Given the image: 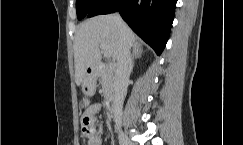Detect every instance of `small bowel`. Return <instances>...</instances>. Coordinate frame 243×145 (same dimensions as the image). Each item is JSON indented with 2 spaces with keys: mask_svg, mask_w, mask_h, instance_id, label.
Here are the masks:
<instances>
[{
  "mask_svg": "<svg viewBox=\"0 0 243 145\" xmlns=\"http://www.w3.org/2000/svg\"><path fill=\"white\" fill-rule=\"evenodd\" d=\"M98 105H94L91 108H89L85 115L89 116L92 120V123L94 125V114L99 110ZM84 115V116H85ZM102 139H101V130H98L94 127V132L91 136L84 139L82 145H101Z\"/></svg>",
  "mask_w": 243,
  "mask_h": 145,
  "instance_id": "c3829d8e",
  "label": "small bowel"
}]
</instances>
